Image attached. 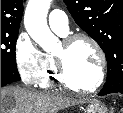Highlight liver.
<instances>
[{"label": "liver", "mask_w": 123, "mask_h": 113, "mask_svg": "<svg viewBox=\"0 0 123 113\" xmlns=\"http://www.w3.org/2000/svg\"><path fill=\"white\" fill-rule=\"evenodd\" d=\"M81 102L58 93L33 92L13 86L1 88V113H58Z\"/></svg>", "instance_id": "obj_1"}]
</instances>
